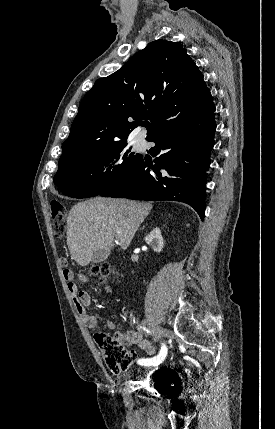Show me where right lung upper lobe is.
<instances>
[{"label": "right lung upper lobe", "mask_w": 275, "mask_h": 429, "mask_svg": "<svg viewBox=\"0 0 275 429\" xmlns=\"http://www.w3.org/2000/svg\"><path fill=\"white\" fill-rule=\"evenodd\" d=\"M214 108L203 75L187 50L177 42L153 41L86 93L62 145L59 167L125 140L141 120L151 122L148 140Z\"/></svg>", "instance_id": "obj_1"}]
</instances>
